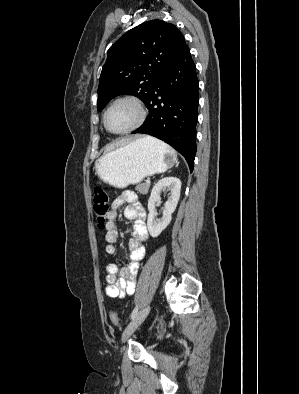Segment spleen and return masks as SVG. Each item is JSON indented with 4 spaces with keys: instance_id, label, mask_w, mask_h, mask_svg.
<instances>
[{
    "instance_id": "obj_1",
    "label": "spleen",
    "mask_w": 299,
    "mask_h": 394,
    "mask_svg": "<svg viewBox=\"0 0 299 394\" xmlns=\"http://www.w3.org/2000/svg\"><path fill=\"white\" fill-rule=\"evenodd\" d=\"M153 139H154V138H153ZM154 140H155V142H157V143H161L166 149H168V150H170L171 152L174 153V151H173L171 148H169L166 144L162 143V142L159 141V140H156V139H154Z\"/></svg>"
}]
</instances>
